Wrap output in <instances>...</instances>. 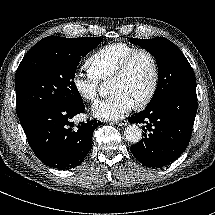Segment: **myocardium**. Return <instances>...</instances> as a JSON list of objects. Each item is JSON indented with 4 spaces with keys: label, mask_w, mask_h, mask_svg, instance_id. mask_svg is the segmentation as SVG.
Here are the masks:
<instances>
[{
    "label": "myocardium",
    "mask_w": 215,
    "mask_h": 215,
    "mask_svg": "<svg viewBox=\"0 0 215 215\" xmlns=\"http://www.w3.org/2000/svg\"><path fill=\"white\" fill-rule=\"evenodd\" d=\"M138 55L147 56V58L150 60L151 67H152V77H151V83L148 88V91L146 92L143 99L134 105L135 109L141 110L147 107L148 104L151 102L158 87L160 72H159L158 61L155 55L151 51L145 48L134 49L133 51H131L129 54H127L124 58L120 60L114 72L110 76V79L122 77L127 72L134 58L137 57Z\"/></svg>",
    "instance_id": "obj_1"
}]
</instances>
